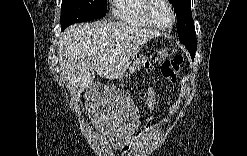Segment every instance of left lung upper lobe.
Returning a JSON list of instances; mask_svg holds the SVG:
<instances>
[{
  "label": "left lung upper lobe",
  "instance_id": "left-lung-upper-lobe-1",
  "mask_svg": "<svg viewBox=\"0 0 247 156\" xmlns=\"http://www.w3.org/2000/svg\"><path fill=\"white\" fill-rule=\"evenodd\" d=\"M177 16L178 36L182 44L191 53L196 52V32L191 15V0H170Z\"/></svg>",
  "mask_w": 247,
  "mask_h": 156
}]
</instances>
